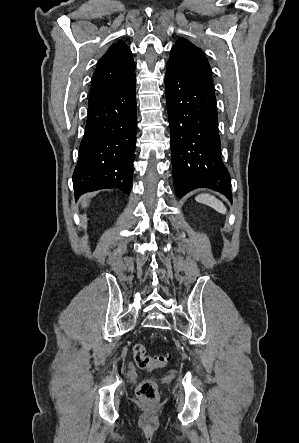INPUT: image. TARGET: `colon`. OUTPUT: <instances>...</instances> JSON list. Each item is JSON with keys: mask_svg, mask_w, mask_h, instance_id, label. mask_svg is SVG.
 Segmentation results:
<instances>
[{"mask_svg": "<svg viewBox=\"0 0 299 443\" xmlns=\"http://www.w3.org/2000/svg\"><path fill=\"white\" fill-rule=\"evenodd\" d=\"M133 354L137 366L140 369L149 371L166 366L171 359L169 354L148 355L143 344H135ZM137 396L142 401L156 403L158 400V389L155 381L150 378L141 381L137 387Z\"/></svg>", "mask_w": 299, "mask_h": 443, "instance_id": "obj_1", "label": "colon"}]
</instances>
